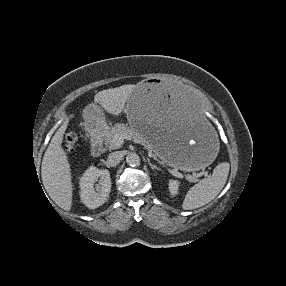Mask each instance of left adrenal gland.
<instances>
[{
	"mask_svg": "<svg viewBox=\"0 0 286 286\" xmlns=\"http://www.w3.org/2000/svg\"><path fill=\"white\" fill-rule=\"evenodd\" d=\"M149 165L151 167L152 170L156 169L158 171H160L161 169L159 167H157L156 165H153L152 163L149 162Z\"/></svg>",
	"mask_w": 286,
	"mask_h": 286,
	"instance_id": "a2214340",
	"label": "left adrenal gland"
}]
</instances>
